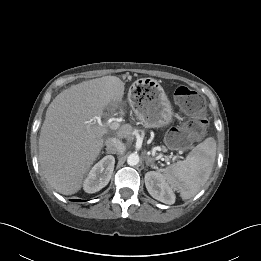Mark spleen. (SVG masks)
I'll return each mask as SVG.
<instances>
[{"instance_id": "obj_1", "label": "spleen", "mask_w": 261, "mask_h": 261, "mask_svg": "<svg viewBox=\"0 0 261 261\" xmlns=\"http://www.w3.org/2000/svg\"><path fill=\"white\" fill-rule=\"evenodd\" d=\"M216 156V142L207 138L187 155L186 159L163 169V177L178 189L183 200L194 197L212 172Z\"/></svg>"}]
</instances>
